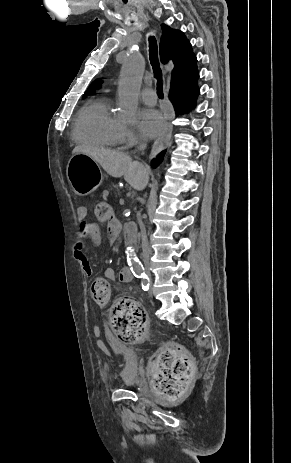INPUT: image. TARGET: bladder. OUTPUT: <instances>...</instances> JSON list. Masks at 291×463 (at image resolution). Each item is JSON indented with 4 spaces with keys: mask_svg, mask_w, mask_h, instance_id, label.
<instances>
[{
    "mask_svg": "<svg viewBox=\"0 0 291 463\" xmlns=\"http://www.w3.org/2000/svg\"><path fill=\"white\" fill-rule=\"evenodd\" d=\"M116 348L125 363V368L119 376L121 383L126 387H137L139 385V377L136 371L138 357L135 348L125 344H117Z\"/></svg>",
    "mask_w": 291,
    "mask_h": 463,
    "instance_id": "1",
    "label": "bladder"
}]
</instances>
